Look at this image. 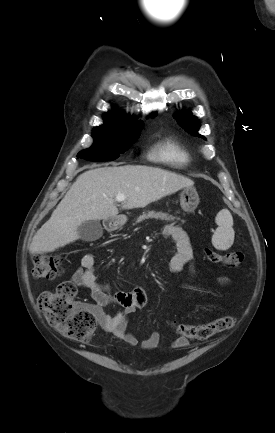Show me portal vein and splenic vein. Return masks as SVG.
I'll return each mask as SVG.
<instances>
[{"label":"portal vein and splenic vein","instance_id":"portal-vein-and-splenic-vein-1","mask_svg":"<svg viewBox=\"0 0 275 433\" xmlns=\"http://www.w3.org/2000/svg\"><path fill=\"white\" fill-rule=\"evenodd\" d=\"M125 199H126V196L123 195V194H118V195L115 197V201H116V202H123Z\"/></svg>","mask_w":275,"mask_h":433}]
</instances>
